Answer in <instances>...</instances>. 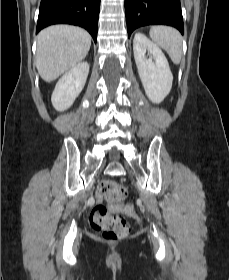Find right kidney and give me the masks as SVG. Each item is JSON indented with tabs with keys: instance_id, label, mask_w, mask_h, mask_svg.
I'll return each mask as SVG.
<instances>
[{
	"instance_id": "ca27d5eb",
	"label": "right kidney",
	"mask_w": 229,
	"mask_h": 280,
	"mask_svg": "<svg viewBox=\"0 0 229 280\" xmlns=\"http://www.w3.org/2000/svg\"><path fill=\"white\" fill-rule=\"evenodd\" d=\"M89 73V64L81 62L65 73L55 86L51 101L57 111L71 107L81 93Z\"/></svg>"
}]
</instances>
